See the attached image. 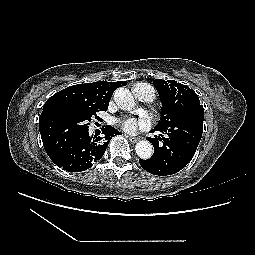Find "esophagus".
<instances>
[{
  "instance_id": "obj_1",
  "label": "esophagus",
  "mask_w": 255,
  "mask_h": 255,
  "mask_svg": "<svg viewBox=\"0 0 255 255\" xmlns=\"http://www.w3.org/2000/svg\"><path fill=\"white\" fill-rule=\"evenodd\" d=\"M125 136L133 143L137 142L138 141V138L137 137H134V136H131V135H128V134H125Z\"/></svg>"
}]
</instances>
